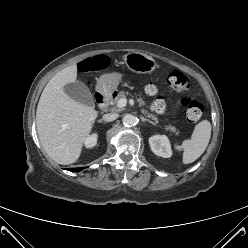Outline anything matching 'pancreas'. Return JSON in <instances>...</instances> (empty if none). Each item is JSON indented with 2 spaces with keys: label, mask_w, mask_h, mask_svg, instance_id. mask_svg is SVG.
Segmentation results:
<instances>
[{
  "label": "pancreas",
  "mask_w": 248,
  "mask_h": 248,
  "mask_svg": "<svg viewBox=\"0 0 248 248\" xmlns=\"http://www.w3.org/2000/svg\"><path fill=\"white\" fill-rule=\"evenodd\" d=\"M124 97H125V92H124V91H121V92H119V93L117 94V96L113 99V101H111V103H112L114 106H117L118 101H119L121 98H124ZM143 113H144L145 115H147L149 118H152V119L154 120L155 123L158 122V121H157V117H156L155 115L148 113V111H146V110H143ZM166 131H169V132H171V133H175L176 135L179 134L178 129H176L174 126H171V125L166 126Z\"/></svg>",
  "instance_id": "1"
}]
</instances>
